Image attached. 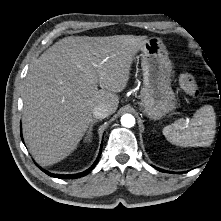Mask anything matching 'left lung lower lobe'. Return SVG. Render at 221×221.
Returning a JSON list of instances; mask_svg holds the SVG:
<instances>
[{
    "label": "left lung lower lobe",
    "mask_w": 221,
    "mask_h": 221,
    "mask_svg": "<svg viewBox=\"0 0 221 221\" xmlns=\"http://www.w3.org/2000/svg\"><path fill=\"white\" fill-rule=\"evenodd\" d=\"M157 170H159V171H161V172H167V171H165V170H162V169H159V168H157V167H155Z\"/></svg>",
    "instance_id": "0a47b994"
}]
</instances>
